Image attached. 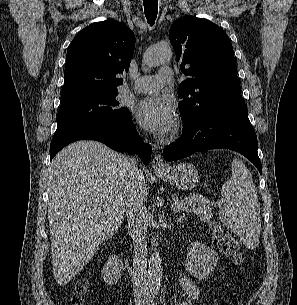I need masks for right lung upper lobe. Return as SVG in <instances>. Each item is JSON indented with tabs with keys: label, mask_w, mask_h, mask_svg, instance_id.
Instances as JSON below:
<instances>
[{
	"label": "right lung upper lobe",
	"mask_w": 297,
	"mask_h": 305,
	"mask_svg": "<svg viewBox=\"0 0 297 305\" xmlns=\"http://www.w3.org/2000/svg\"><path fill=\"white\" fill-rule=\"evenodd\" d=\"M134 33L112 20L93 23L72 40L67 52L61 100L93 92L116 91L119 74L129 70Z\"/></svg>",
	"instance_id": "right-lung-upper-lobe-1"
}]
</instances>
